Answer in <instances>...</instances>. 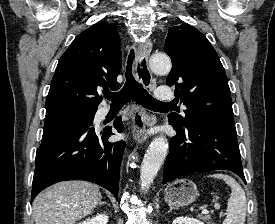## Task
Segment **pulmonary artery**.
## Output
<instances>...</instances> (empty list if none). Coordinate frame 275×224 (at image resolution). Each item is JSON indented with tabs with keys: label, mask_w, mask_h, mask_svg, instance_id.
<instances>
[{
	"label": "pulmonary artery",
	"mask_w": 275,
	"mask_h": 224,
	"mask_svg": "<svg viewBox=\"0 0 275 224\" xmlns=\"http://www.w3.org/2000/svg\"><path fill=\"white\" fill-rule=\"evenodd\" d=\"M155 96L159 101H171L174 99V92L170 87H159L155 91Z\"/></svg>",
	"instance_id": "pulmonary-artery-1"
}]
</instances>
